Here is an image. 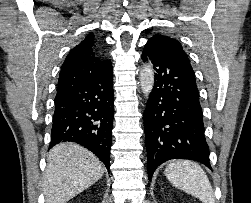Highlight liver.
Masks as SVG:
<instances>
[{
    "label": "liver",
    "mask_w": 251,
    "mask_h": 203,
    "mask_svg": "<svg viewBox=\"0 0 251 203\" xmlns=\"http://www.w3.org/2000/svg\"><path fill=\"white\" fill-rule=\"evenodd\" d=\"M43 193L46 203H66L104 174L100 160L75 143L54 146L47 157Z\"/></svg>",
    "instance_id": "6515ba94"
}]
</instances>
